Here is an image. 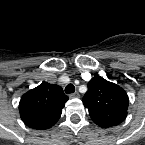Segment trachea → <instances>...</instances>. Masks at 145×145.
I'll return each mask as SVG.
<instances>
[{"label": "trachea", "instance_id": "obj_1", "mask_svg": "<svg viewBox=\"0 0 145 145\" xmlns=\"http://www.w3.org/2000/svg\"><path fill=\"white\" fill-rule=\"evenodd\" d=\"M75 92V87L73 84H68L65 88V93L70 94Z\"/></svg>", "mask_w": 145, "mask_h": 145}]
</instances>
